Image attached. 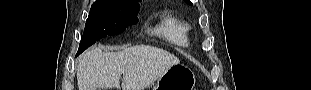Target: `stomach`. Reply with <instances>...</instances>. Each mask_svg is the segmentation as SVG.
Listing matches in <instances>:
<instances>
[{
    "label": "stomach",
    "mask_w": 311,
    "mask_h": 90,
    "mask_svg": "<svg viewBox=\"0 0 311 90\" xmlns=\"http://www.w3.org/2000/svg\"><path fill=\"white\" fill-rule=\"evenodd\" d=\"M195 82V75L190 68L176 64L162 74L152 90H193Z\"/></svg>",
    "instance_id": "1"
}]
</instances>
